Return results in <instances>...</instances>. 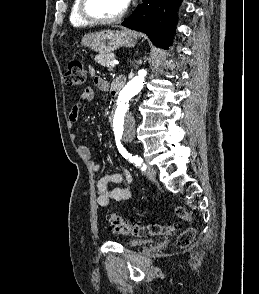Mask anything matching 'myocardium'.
<instances>
[{
	"label": "myocardium",
	"mask_w": 259,
	"mask_h": 294,
	"mask_svg": "<svg viewBox=\"0 0 259 294\" xmlns=\"http://www.w3.org/2000/svg\"><path fill=\"white\" fill-rule=\"evenodd\" d=\"M88 0H79L78 12L80 17L89 25H107L120 21L127 13V7H125L118 15L110 18H98L91 15L87 8Z\"/></svg>",
	"instance_id": "myocardium-1"
}]
</instances>
